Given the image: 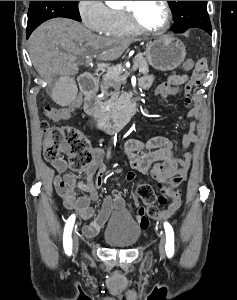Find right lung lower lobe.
Masks as SVG:
<instances>
[{"instance_id":"98d812e1","label":"right lung lower lobe","mask_w":237,"mask_h":300,"mask_svg":"<svg viewBox=\"0 0 237 300\" xmlns=\"http://www.w3.org/2000/svg\"><path fill=\"white\" fill-rule=\"evenodd\" d=\"M32 29H30V28H27V30H26V34H27V37H29V35L32 33Z\"/></svg>"}]
</instances>
